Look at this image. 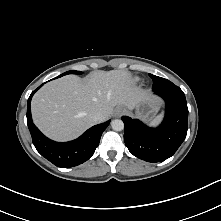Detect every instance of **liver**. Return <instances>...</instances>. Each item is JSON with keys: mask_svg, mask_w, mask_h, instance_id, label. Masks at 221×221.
Instances as JSON below:
<instances>
[{"mask_svg": "<svg viewBox=\"0 0 221 221\" xmlns=\"http://www.w3.org/2000/svg\"><path fill=\"white\" fill-rule=\"evenodd\" d=\"M148 94L134 86L124 70L94 71L85 79L64 76L44 85L31 102L35 125L49 138L68 141L95 125L92 116L108 119L114 107L134 109Z\"/></svg>", "mask_w": 221, "mask_h": 221, "instance_id": "1", "label": "liver"}]
</instances>
